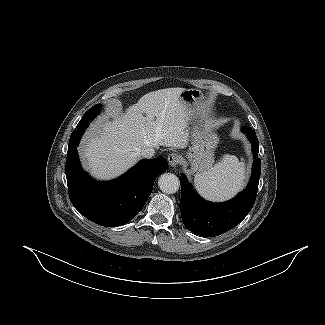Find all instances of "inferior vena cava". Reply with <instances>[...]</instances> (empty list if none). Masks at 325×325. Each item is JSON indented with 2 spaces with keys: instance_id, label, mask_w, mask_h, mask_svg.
Here are the masks:
<instances>
[{
  "instance_id": "inferior-vena-cava-1",
  "label": "inferior vena cava",
  "mask_w": 325,
  "mask_h": 325,
  "mask_svg": "<svg viewBox=\"0 0 325 325\" xmlns=\"http://www.w3.org/2000/svg\"><path fill=\"white\" fill-rule=\"evenodd\" d=\"M139 154L144 158H152L155 154L154 148H144L139 151Z\"/></svg>"
}]
</instances>
